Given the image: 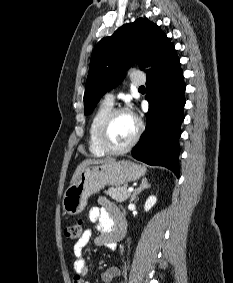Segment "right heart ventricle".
Segmentation results:
<instances>
[{
    "label": "right heart ventricle",
    "instance_id": "obj_1",
    "mask_svg": "<svg viewBox=\"0 0 233 283\" xmlns=\"http://www.w3.org/2000/svg\"><path fill=\"white\" fill-rule=\"evenodd\" d=\"M112 109L113 105L103 101L91 117L88 128V148L90 153L96 157H102L106 154L98 144L97 135L102 121Z\"/></svg>",
    "mask_w": 233,
    "mask_h": 283
}]
</instances>
